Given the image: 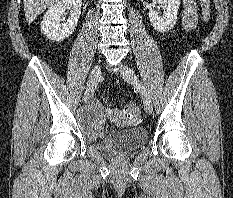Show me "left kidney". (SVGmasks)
Here are the masks:
<instances>
[{
    "instance_id": "left-kidney-1",
    "label": "left kidney",
    "mask_w": 233,
    "mask_h": 198,
    "mask_svg": "<svg viewBox=\"0 0 233 198\" xmlns=\"http://www.w3.org/2000/svg\"><path fill=\"white\" fill-rule=\"evenodd\" d=\"M149 10L151 25L160 33L171 30L177 22V15L180 0H152ZM159 5V6H158ZM160 7L163 8V15H159Z\"/></svg>"
}]
</instances>
